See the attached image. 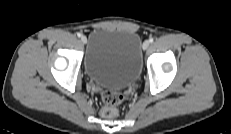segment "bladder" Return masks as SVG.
Listing matches in <instances>:
<instances>
[{
  "instance_id": "bladder-1",
  "label": "bladder",
  "mask_w": 231,
  "mask_h": 134,
  "mask_svg": "<svg viewBox=\"0 0 231 134\" xmlns=\"http://www.w3.org/2000/svg\"><path fill=\"white\" fill-rule=\"evenodd\" d=\"M84 70L97 85L116 89L131 86L142 70L140 36L129 30H93L88 38Z\"/></svg>"
}]
</instances>
